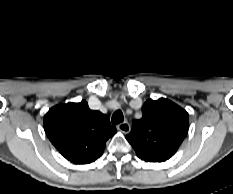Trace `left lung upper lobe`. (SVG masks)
Wrapping results in <instances>:
<instances>
[{
  "instance_id": "obj_1",
  "label": "left lung upper lobe",
  "mask_w": 233,
  "mask_h": 194,
  "mask_svg": "<svg viewBox=\"0 0 233 194\" xmlns=\"http://www.w3.org/2000/svg\"><path fill=\"white\" fill-rule=\"evenodd\" d=\"M142 112L126 139L140 159L164 162L176 153L188 133V113L165 98L147 100Z\"/></svg>"
}]
</instances>
